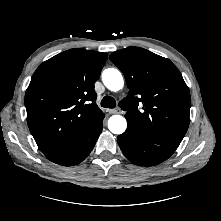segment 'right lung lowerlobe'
<instances>
[{
  "mask_svg": "<svg viewBox=\"0 0 221 221\" xmlns=\"http://www.w3.org/2000/svg\"><path fill=\"white\" fill-rule=\"evenodd\" d=\"M104 114L90 120L83 130L70 142L45 150L43 154L52 162L63 166L76 165L93 149L101 131Z\"/></svg>",
  "mask_w": 221,
  "mask_h": 221,
  "instance_id": "obj_1",
  "label": "right lung lower lobe"
}]
</instances>
